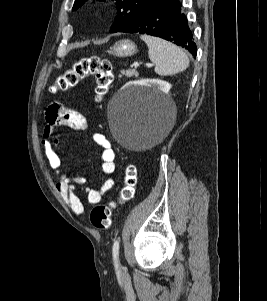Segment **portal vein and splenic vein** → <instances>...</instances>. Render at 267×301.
Segmentation results:
<instances>
[{
	"mask_svg": "<svg viewBox=\"0 0 267 301\" xmlns=\"http://www.w3.org/2000/svg\"><path fill=\"white\" fill-rule=\"evenodd\" d=\"M139 65H140V64L137 63V62H134V63L132 64V66L135 67V68L139 67ZM150 66H152V65H150Z\"/></svg>",
	"mask_w": 267,
	"mask_h": 301,
	"instance_id": "18ae733b",
	"label": "portal vein and splenic vein"
}]
</instances>
